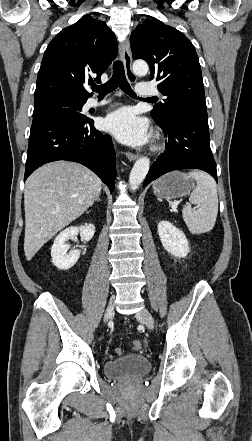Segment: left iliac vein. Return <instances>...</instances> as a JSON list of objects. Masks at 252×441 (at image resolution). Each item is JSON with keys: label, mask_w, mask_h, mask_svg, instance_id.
<instances>
[{"label": "left iliac vein", "mask_w": 252, "mask_h": 441, "mask_svg": "<svg viewBox=\"0 0 252 441\" xmlns=\"http://www.w3.org/2000/svg\"><path fill=\"white\" fill-rule=\"evenodd\" d=\"M136 317L138 319H141L142 322L147 326V328L149 330H153L154 319H153L151 313L146 308H142L139 312H137Z\"/></svg>", "instance_id": "left-iliac-vein-1"}]
</instances>
